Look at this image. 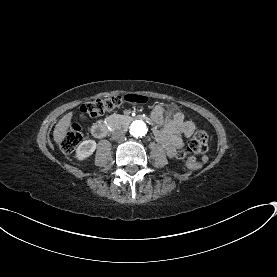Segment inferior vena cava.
Returning <instances> with one entry per match:
<instances>
[{"instance_id": "inferior-vena-cava-1", "label": "inferior vena cava", "mask_w": 277, "mask_h": 277, "mask_svg": "<svg viewBox=\"0 0 277 277\" xmlns=\"http://www.w3.org/2000/svg\"><path fill=\"white\" fill-rule=\"evenodd\" d=\"M112 139L116 142H122L125 140V134L120 131H115L112 133Z\"/></svg>"}]
</instances>
